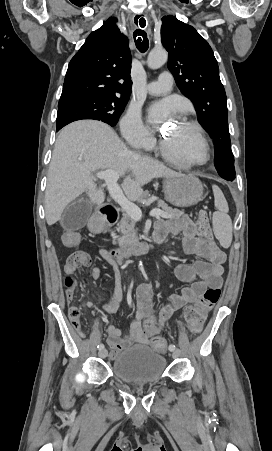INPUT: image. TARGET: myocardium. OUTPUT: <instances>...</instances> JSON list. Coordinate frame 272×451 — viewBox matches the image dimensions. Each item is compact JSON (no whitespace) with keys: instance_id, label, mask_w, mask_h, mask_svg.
Wrapping results in <instances>:
<instances>
[{"instance_id":"1","label":"myocardium","mask_w":272,"mask_h":451,"mask_svg":"<svg viewBox=\"0 0 272 451\" xmlns=\"http://www.w3.org/2000/svg\"><path fill=\"white\" fill-rule=\"evenodd\" d=\"M181 123L193 131L199 147L200 152L199 157L196 159H187V160L181 158L174 150L173 152H170L165 139L161 143L162 152L164 153V155L170 157V159L175 163L186 162L190 167H201L206 165L210 160V150L207 140L203 135L201 127L197 123L187 119H182Z\"/></svg>"}]
</instances>
